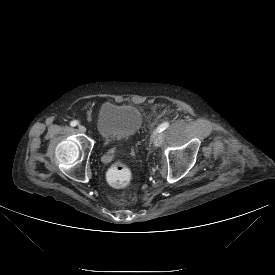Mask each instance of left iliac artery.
Segmentation results:
<instances>
[{
    "label": "left iliac artery",
    "mask_w": 275,
    "mask_h": 275,
    "mask_svg": "<svg viewBox=\"0 0 275 275\" xmlns=\"http://www.w3.org/2000/svg\"><path fill=\"white\" fill-rule=\"evenodd\" d=\"M168 127H169V123L168 122H164V123H162L161 125L158 126V128H157V130H156L155 133L162 132V131H164Z\"/></svg>",
    "instance_id": "1"
}]
</instances>
